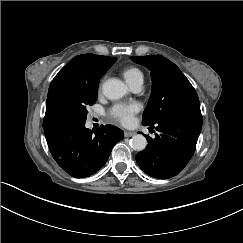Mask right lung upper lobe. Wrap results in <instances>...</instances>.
<instances>
[{"instance_id": "1", "label": "right lung upper lobe", "mask_w": 243, "mask_h": 243, "mask_svg": "<svg viewBox=\"0 0 243 243\" xmlns=\"http://www.w3.org/2000/svg\"><path fill=\"white\" fill-rule=\"evenodd\" d=\"M116 61L114 57L84 54L74 57L54 77L48 94L61 81L70 78H82L93 81L99 80Z\"/></svg>"}]
</instances>
